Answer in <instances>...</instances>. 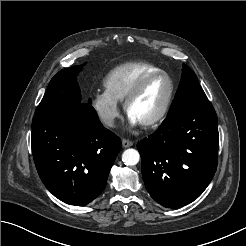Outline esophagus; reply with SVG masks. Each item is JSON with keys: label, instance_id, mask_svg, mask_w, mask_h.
<instances>
[{"label": "esophagus", "instance_id": "obj_1", "mask_svg": "<svg viewBox=\"0 0 246 246\" xmlns=\"http://www.w3.org/2000/svg\"><path fill=\"white\" fill-rule=\"evenodd\" d=\"M133 145V142L128 139H122V146L124 148L131 147Z\"/></svg>", "mask_w": 246, "mask_h": 246}]
</instances>
